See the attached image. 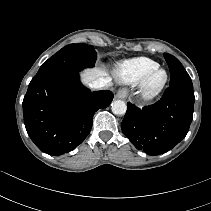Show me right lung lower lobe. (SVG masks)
Segmentation results:
<instances>
[{"mask_svg":"<svg viewBox=\"0 0 211 211\" xmlns=\"http://www.w3.org/2000/svg\"><path fill=\"white\" fill-rule=\"evenodd\" d=\"M112 99L110 91L91 92L82 86L75 70L36 75L23 100L27 133L45 153H67L86 138L95 112Z\"/></svg>","mask_w":211,"mask_h":211,"instance_id":"right-lung-lower-lobe-1","label":"right lung lower lobe"}]
</instances>
